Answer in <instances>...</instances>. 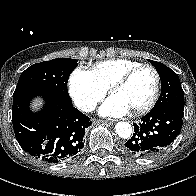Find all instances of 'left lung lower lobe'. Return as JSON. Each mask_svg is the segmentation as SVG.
Masks as SVG:
<instances>
[{"instance_id": "left-lung-lower-lobe-1", "label": "left lung lower lobe", "mask_w": 196, "mask_h": 196, "mask_svg": "<svg viewBox=\"0 0 196 196\" xmlns=\"http://www.w3.org/2000/svg\"><path fill=\"white\" fill-rule=\"evenodd\" d=\"M183 115V109L173 106L152 109L141 119V123H133L135 133L125 143V152L138 157L160 153L178 136Z\"/></svg>"}]
</instances>
